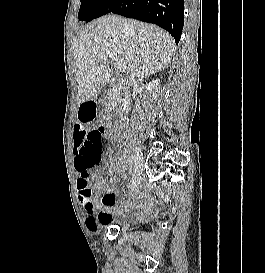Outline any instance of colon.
Here are the masks:
<instances>
[{
	"label": "colon",
	"mask_w": 265,
	"mask_h": 273,
	"mask_svg": "<svg viewBox=\"0 0 265 273\" xmlns=\"http://www.w3.org/2000/svg\"><path fill=\"white\" fill-rule=\"evenodd\" d=\"M95 115V114H94ZM108 133V128L101 125L95 129H76L77 143L76 150L78 155L79 168L84 175L96 168L101 161V146L104 136ZM85 192L89 193L90 188L85 180Z\"/></svg>",
	"instance_id": "1"
}]
</instances>
